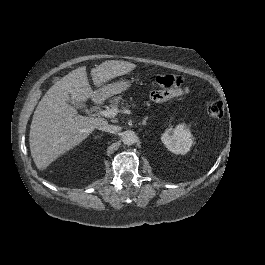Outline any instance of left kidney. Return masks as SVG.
I'll use <instances>...</instances> for the list:
<instances>
[{
	"instance_id": "obj_1",
	"label": "left kidney",
	"mask_w": 265,
	"mask_h": 265,
	"mask_svg": "<svg viewBox=\"0 0 265 265\" xmlns=\"http://www.w3.org/2000/svg\"><path fill=\"white\" fill-rule=\"evenodd\" d=\"M161 142L174 154H187L196 143V137L191 131V126L178 123L175 128H167L161 135Z\"/></svg>"
}]
</instances>
